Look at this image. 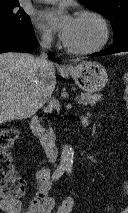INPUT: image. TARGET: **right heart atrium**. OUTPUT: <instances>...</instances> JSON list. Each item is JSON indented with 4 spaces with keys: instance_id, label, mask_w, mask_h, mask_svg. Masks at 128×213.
Instances as JSON below:
<instances>
[{
    "instance_id": "d8ad5b80",
    "label": "right heart atrium",
    "mask_w": 128,
    "mask_h": 213,
    "mask_svg": "<svg viewBox=\"0 0 128 213\" xmlns=\"http://www.w3.org/2000/svg\"><path fill=\"white\" fill-rule=\"evenodd\" d=\"M53 41V38L50 34L48 33H43L41 35V42L44 44V45H50Z\"/></svg>"
}]
</instances>
